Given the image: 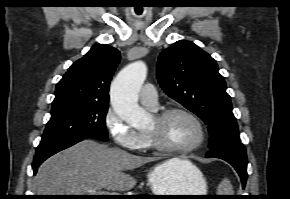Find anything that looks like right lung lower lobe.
<instances>
[{
	"instance_id": "right-lung-lower-lobe-1",
	"label": "right lung lower lobe",
	"mask_w": 290,
	"mask_h": 199,
	"mask_svg": "<svg viewBox=\"0 0 290 199\" xmlns=\"http://www.w3.org/2000/svg\"><path fill=\"white\" fill-rule=\"evenodd\" d=\"M86 138H90V137H86ZM85 139V138H83ZM83 139H77V140H73L70 142H62V143H57V144H53V145H48V146H38L36 149V154L32 163V168H33V172L34 174L37 172L38 167L40 166V164L45 161L47 158H49L50 156L54 155L55 153L64 150L80 141H82Z\"/></svg>"
}]
</instances>
